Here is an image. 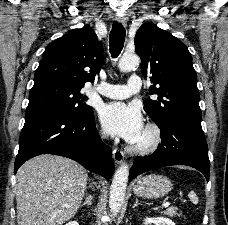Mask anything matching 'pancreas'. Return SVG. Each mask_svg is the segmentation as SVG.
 <instances>
[{"instance_id": "obj_1", "label": "pancreas", "mask_w": 228, "mask_h": 225, "mask_svg": "<svg viewBox=\"0 0 228 225\" xmlns=\"http://www.w3.org/2000/svg\"><path fill=\"white\" fill-rule=\"evenodd\" d=\"M177 211H178L177 207H169V209H166V211H163V215H168V217H174V215H179Z\"/></svg>"}]
</instances>
